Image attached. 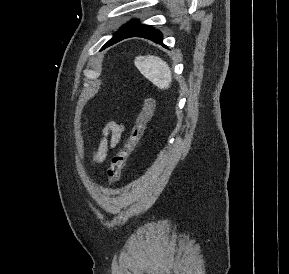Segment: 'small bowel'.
Wrapping results in <instances>:
<instances>
[{"label": "small bowel", "instance_id": "small-bowel-1", "mask_svg": "<svg viewBox=\"0 0 289 274\" xmlns=\"http://www.w3.org/2000/svg\"><path fill=\"white\" fill-rule=\"evenodd\" d=\"M125 126L122 122L109 121L102 130L101 138L95 146L92 154L93 165L102 164L108 155L119 144L124 133Z\"/></svg>", "mask_w": 289, "mask_h": 274}]
</instances>
